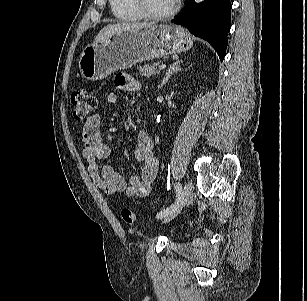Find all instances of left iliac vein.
Segmentation results:
<instances>
[{"mask_svg":"<svg viewBox=\"0 0 307 301\" xmlns=\"http://www.w3.org/2000/svg\"><path fill=\"white\" fill-rule=\"evenodd\" d=\"M191 201H192V187L189 184H186L184 186L182 197L177 208L164 217V222H169L170 220L175 218L180 213L181 208L190 204Z\"/></svg>","mask_w":307,"mask_h":301,"instance_id":"1","label":"left iliac vein"}]
</instances>
